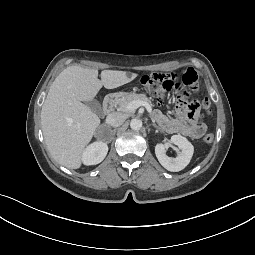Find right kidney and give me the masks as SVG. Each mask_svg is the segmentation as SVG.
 I'll use <instances>...</instances> for the list:
<instances>
[{
  "mask_svg": "<svg viewBox=\"0 0 255 255\" xmlns=\"http://www.w3.org/2000/svg\"><path fill=\"white\" fill-rule=\"evenodd\" d=\"M107 152V143L103 141L94 142L83 151L82 162L85 165H96L104 160Z\"/></svg>",
  "mask_w": 255,
  "mask_h": 255,
  "instance_id": "1",
  "label": "right kidney"
}]
</instances>
